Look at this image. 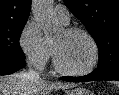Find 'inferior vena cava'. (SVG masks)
Here are the masks:
<instances>
[{
  "mask_svg": "<svg viewBox=\"0 0 119 95\" xmlns=\"http://www.w3.org/2000/svg\"><path fill=\"white\" fill-rule=\"evenodd\" d=\"M25 77L31 80L39 79V73L32 68V65H29V69L25 72Z\"/></svg>",
  "mask_w": 119,
  "mask_h": 95,
  "instance_id": "inferior-vena-cava-1",
  "label": "inferior vena cava"
}]
</instances>
